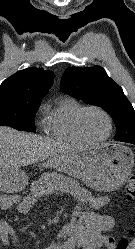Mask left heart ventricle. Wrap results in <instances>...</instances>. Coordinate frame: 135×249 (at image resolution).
Wrapping results in <instances>:
<instances>
[{
    "instance_id": "left-heart-ventricle-1",
    "label": "left heart ventricle",
    "mask_w": 135,
    "mask_h": 249,
    "mask_svg": "<svg viewBox=\"0 0 135 249\" xmlns=\"http://www.w3.org/2000/svg\"><path fill=\"white\" fill-rule=\"evenodd\" d=\"M85 134L93 140L102 139L108 132V123L105 117L97 111H89L82 120Z\"/></svg>"
}]
</instances>
